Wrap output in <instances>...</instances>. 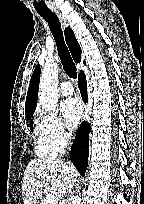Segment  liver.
<instances>
[{
  "mask_svg": "<svg viewBox=\"0 0 144 204\" xmlns=\"http://www.w3.org/2000/svg\"><path fill=\"white\" fill-rule=\"evenodd\" d=\"M78 172L71 163L60 160L32 159L24 172L23 204H38L46 192L66 195L77 182Z\"/></svg>",
  "mask_w": 144,
  "mask_h": 204,
  "instance_id": "liver-1",
  "label": "liver"
}]
</instances>
